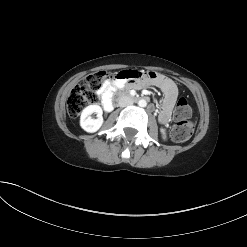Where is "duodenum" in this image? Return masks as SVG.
<instances>
[{"label": "duodenum", "instance_id": "obj_1", "mask_svg": "<svg viewBox=\"0 0 247 247\" xmlns=\"http://www.w3.org/2000/svg\"><path fill=\"white\" fill-rule=\"evenodd\" d=\"M122 96H126V97H128L130 100H132V99H134V100H142L143 98L140 96V97H138V96H132V95H130V93H129V91L127 90V89H125V88H123V89H121V90H119V91H117V93L115 94V95H113V106H118V104H119V100H120V98L122 97Z\"/></svg>", "mask_w": 247, "mask_h": 247}]
</instances>
